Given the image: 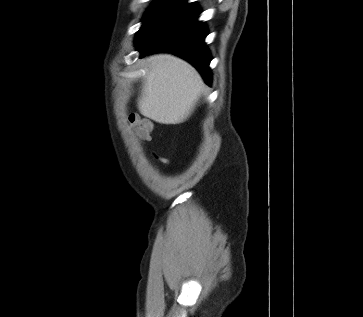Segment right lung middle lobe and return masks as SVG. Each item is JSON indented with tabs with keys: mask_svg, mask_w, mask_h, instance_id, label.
Wrapping results in <instances>:
<instances>
[{
	"mask_svg": "<svg viewBox=\"0 0 363 317\" xmlns=\"http://www.w3.org/2000/svg\"><path fill=\"white\" fill-rule=\"evenodd\" d=\"M185 0H156L144 16V25L136 39L149 30L162 16L181 5Z\"/></svg>",
	"mask_w": 363,
	"mask_h": 317,
	"instance_id": "dd1d6c3e",
	"label": "right lung middle lobe"
}]
</instances>
